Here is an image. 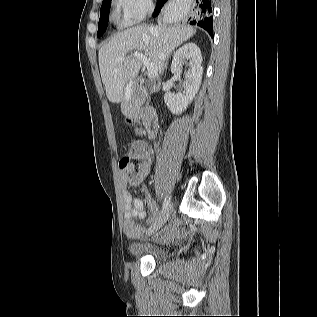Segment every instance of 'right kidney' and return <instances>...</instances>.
<instances>
[{
    "instance_id": "1",
    "label": "right kidney",
    "mask_w": 317,
    "mask_h": 317,
    "mask_svg": "<svg viewBox=\"0 0 317 317\" xmlns=\"http://www.w3.org/2000/svg\"><path fill=\"white\" fill-rule=\"evenodd\" d=\"M201 64V50L194 43L185 44L174 53L171 72L180 75L184 65H189V69L185 73L186 80L184 94L167 92L164 95V101L173 114H181L186 110L197 94L203 74V67Z\"/></svg>"
}]
</instances>
